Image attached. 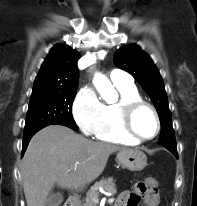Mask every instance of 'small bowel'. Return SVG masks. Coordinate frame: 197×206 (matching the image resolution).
Wrapping results in <instances>:
<instances>
[{"label":"small bowel","mask_w":197,"mask_h":206,"mask_svg":"<svg viewBox=\"0 0 197 206\" xmlns=\"http://www.w3.org/2000/svg\"><path fill=\"white\" fill-rule=\"evenodd\" d=\"M131 195L132 194L130 191H124L119 197V199L117 200L115 206H131L130 204ZM146 198L148 201V206H157V202H158L157 189L155 188L149 190Z\"/></svg>","instance_id":"obj_1"}]
</instances>
